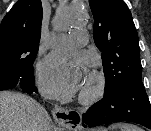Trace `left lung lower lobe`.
<instances>
[{"mask_svg": "<svg viewBox=\"0 0 151 131\" xmlns=\"http://www.w3.org/2000/svg\"><path fill=\"white\" fill-rule=\"evenodd\" d=\"M116 121L134 122L151 129V104L141 78L126 81L82 115L84 127Z\"/></svg>", "mask_w": 151, "mask_h": 131, "instance_id": "1", "label": "left lung lower lobe"}]
</instances>
